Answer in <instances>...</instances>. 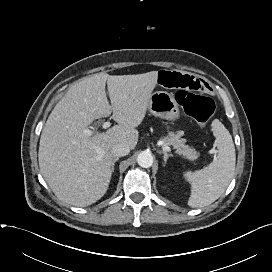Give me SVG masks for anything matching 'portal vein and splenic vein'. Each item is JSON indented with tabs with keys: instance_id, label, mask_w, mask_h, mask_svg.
Masks as SVG:
<instances>
[{
	"instance_id": "portal-vein-and-splenic-vein-1",
	"label": "portal vein and splenic vein",
	"mask_w": 272,
	"mask_h": 272,
	"mask_svg": "<svg viewBox=\"0 0 272 272\" xmlns=\"http://www.w3.org/2000/svg\"><path fill=\"white\" fill-rule=\"evenodd\" d=\"M110 126H111V123H110V122H104L103 125H102L103 129H107V128H109ZM83 133H84L86 136H92V135L95 134L94 131H92V130H90V129H88V128L84 129V130H83ZM162 148H163V150H165V151H171V148H170L169 146H167V145H163ZM213 154H214V153H213Z\"/></svg>"
}]
</instances>
